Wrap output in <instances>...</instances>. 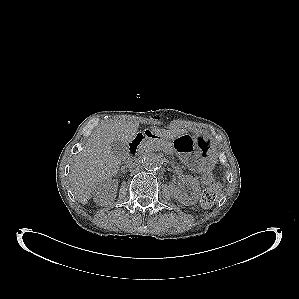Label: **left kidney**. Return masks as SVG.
<instances>
[{"mask_svg":"<svg viewBox=\"0 0 299 299\" xmlns=\"http://www.w3.org/2000/svg\"><path fill=\"white\" fill-rule=\"evenodd\" d=\"M184 183L189 185L190 189H192V192L190 195H188L185 192H182L179 190L173 183L170 184V189L173 194V197L178 200L183 205L189 206L195 204L200 195V185L198 181L191 175H187L184 178Z\"/></svg>","mask_w":299,"mask_h":299,"instance_id":"obj_1","label":"left kidney"}]
</instances>
